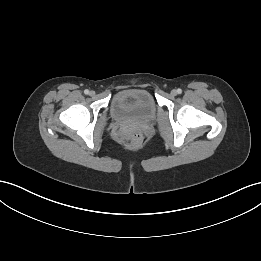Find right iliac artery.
Here are the masks:
<instances>
[{
  "label": "right iliac artery",
  "mask_w": 261,
  "mask_h": 261,
  "mask_svg": "<svg viewBox=\"0 0 261 261\" xmlns=\"http://www.w3.org/2000/svg\"><path fill=\"white\" fill-rule=\"evenodd\" d=\"M84 93H85L86 95L89 94V90L86 89V90L84 91Z\"/></svg>",
  "instance_id": "82829eb1"
}]
</instances>
